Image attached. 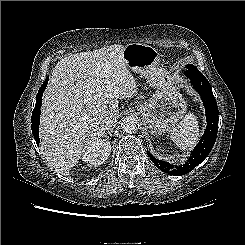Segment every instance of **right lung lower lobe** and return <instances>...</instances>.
Segmentation results:
<instances>
[{"label": "right lung lower lobe", "mask_w": 245, "mask_h": 245, "mask_svg": "<svg viewBox=\"0 0 245 245\" xmlns=\"http://www.w3.org/2000/svg\"><path fill=\"white\" fill-rule=\"evenodd\" d=\"M46 86L43 85L38 91V94L36 96L37 97L36 105H35V108L33 110L32 119H31L32 134H33L35 141L38 145H39V121H40L41 98H42V95H43V92H44Z\"/></svg>", "instance_id": "1"}]
</instances>
